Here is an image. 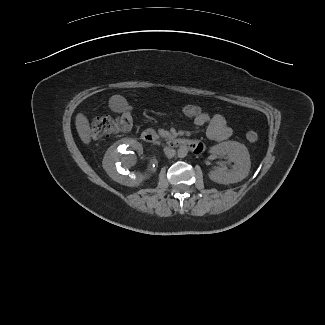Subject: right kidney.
Listing matches in <instances>:
<instances>
[{"label":"right kidney","instance_id":"obj_1","mask_svg":"<svg viewBox=\"0 0 325 325\" xmlns=\"http://www.w3.org/2000/svg\"><path fill=\"white\" fill-rule=\"evenodd\" d=\"M102 164L114 181L130 187L139 186L151 173L145 163L142 145L131 138L121 139L110 146Z\"/></svg>","mask_w":325,"mask_h":325}]
</instances>
